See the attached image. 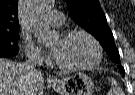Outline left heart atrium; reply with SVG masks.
<instances>
[{"mask_svg":"<svg viewBox=\"0 0 135 95\" xmlns=\"http://www.w3.org/2000/svg\"><path fill=\"white\" fill-rule=\"evenodd\" d=\"M52 54H53V56L56 57V55H57V50H56L55 48L52 49Z\"/></svg>","mask_w":135,"mask_h":95,"instance_id":"left-heart-atrium-1","label":"left heart atrium"}]
</instances>
